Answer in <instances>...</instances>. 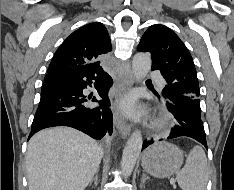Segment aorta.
Here are the masks:
<instances>
[{"label":"aorta","mask_w":234,"mask_h":190,"mask_svg":"<svg viewBox=\"0 0 234 190\" xmlns=\"http://www.w3.org/2000/svg\"><path fill=\"white\" fill-rule=\"evenodd\" d=\"M151 68V58L147 53H137L132 61V70L135 78L142 81ZM143 139L140 131H134L127 141L123 150L121 169L125 177H128L136 164L140 155Z\"/></svg>","instance_id":"762f6f07"}]
</instances>
